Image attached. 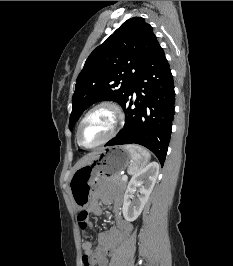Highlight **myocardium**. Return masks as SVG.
Listing matches in <instances>:
<instances>
[{
  "label": "myocardium",
  "mask_w": 233,
  "mask_h": 266,
  "mask_svg": "<svg viewBox=\"0 0 233 266\" xmlns=\"http://www.w3.org/2000/svg\"><path fill=\"white\" fill-rule=\"evenodd\" d=\"M101 108H109L113 111L114 113V116H115V121H114V125L110 131V133L104 138L102 139L101 141H99L98 143L96 144H93V145H90V146H87L85 144L82 143L81 141V138H80V133H81V129H82V126L84 124V122L87 120V118L92 114L94 113L95 111L101 109ZM124 119H125V116H124V112H123V109L121 108V106L117 103V102H114V101H110V100H106V101H102L98 104H96L95 106H93L85 115L84 117L81 119L79 125H78V128H77V132H76V139H77V142L78 144L83 147V148H86V149H93V148H96V147H99L107 142H109L111 139H113L117 133L119 132L120 128L122 127L123 123H124Z\"/></svg>",
  "instance_id": "f54148a6"
}]
</instances>
